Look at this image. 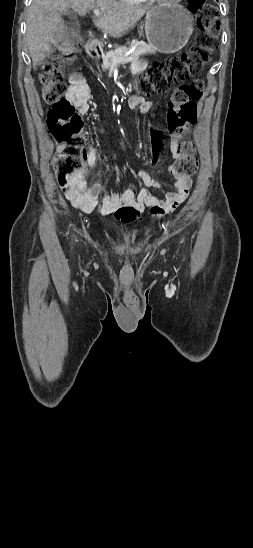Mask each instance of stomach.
<instances>
[{
    "instance_id": "stomach-1",
    "label": "stomach",
    "mask_w": 253,
    "mask_h": 548,
    "mask_svg": "<svg viewBox=\"0 0 253 548\" xmlns=\"http://www.w3.org/2000/svg\"><path fill=\"white\" fill-rule=\"evenodd\" d=\"M190 12L179 4H160L147 12L145 34L148 43L161 53L182 49L193 32Z\"/></svg>"
}]
</instances>
